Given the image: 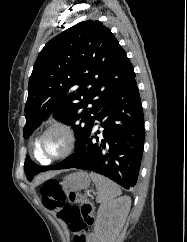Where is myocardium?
I'll use <instances>...</instances> for the list:
<instances>
[{
    "label": "myocardium",
    "mask_w": 187,
    "mask_h": 242,
    "mask_svg": "<svg viewBox=\"0 0 187 242\" xmlns=\"http://www.w3.org/2000/svg\"><path fill=\"white\" fill-rule=\"evenodd\" d=\"M54 130H58L64 133L65 137H66V146L65 149L57 155L54 156H47L43 153L42 150V142L44 140V138L47 136V134H49L51 131ZM76 145V136H75V132L74 129L72 128L71 125L62 122V121H57L54 122L52 124H50L42 133L41 135L38 137L37 140V149L39 154L44 158V160L46 162H51L54 160H59V159H63L65 157H67L68 155H70L72 153V151L74 150Z\"/></svg>",
    "instance_id": "myocardium-1"
}]
</instances>
